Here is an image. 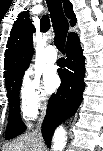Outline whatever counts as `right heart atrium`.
<instances>
[{
	"label": "right heart atrium",
	"instance_id": "obj_1",
	"mask_svg": "<svg viewBox=\"0 0 103 151\" xmlns=\"http://www.w3.org/2000/svg\"><path fill=\"white\" fill-rule=\"evenodd\" d=\"M20 102L24 115L36 117L46 106L47 98L39 79L31 72H26L20 85Z\"/></svg>",
	"mask_w": 103,
	"mask_h": 151
}]
</instances>
